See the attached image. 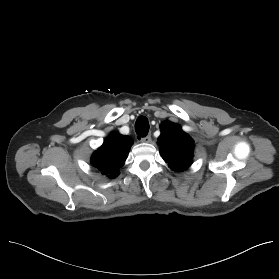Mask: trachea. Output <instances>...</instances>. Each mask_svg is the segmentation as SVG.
<instances>
[{
  "mask_svg": "<svg viewBox=\"0 0 279 279\" xmlns=\"http://www.w3.org/2000/svg\"><path fill=\"white\" fill-rule=\"evenodd\" d=\"M136 133L140 137H145L149 132V122L146 117L140 116L135 122Z\"/></svg>",
  "mask_w": 279,
  "mask_h": 279,
  "instance_id": "1",
  "label": "trachea"
}]
</instances>
